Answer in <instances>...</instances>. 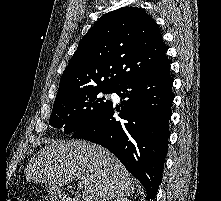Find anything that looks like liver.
<instances>
[{"mask_svg": "<svg viewBox=\"0 0 221 201\" xmlns=\"http://www.w3.org/2000/svg\"><path fill=\"white\" fill-rule=\"evenodd\" d=\"M48 143L30 160L28 181L63 186L73 180L83 184V201H108L134 193L138 182L107 149L83 140Z\"/></svg>", "mask_w": 221, "mask_h": 201, "instance_id": "obj_1", "label": "liver"}]
</instances>
